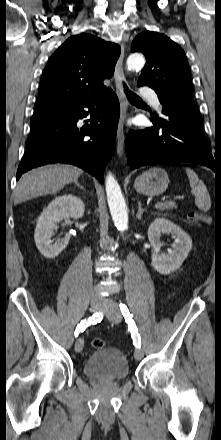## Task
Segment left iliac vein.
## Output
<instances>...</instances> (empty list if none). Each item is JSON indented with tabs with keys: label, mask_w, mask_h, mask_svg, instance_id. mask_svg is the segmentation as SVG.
I'll return each mask as SVG.
<instances>
[{
	"label": "left iliac vein",
	"mask_w": 221,
	"mask_h": 440,
	"mask_svg": "<svg viewBox=\"0 0 221 440\" xmlns=\"http://www.w3.org/2000/svg\"><path fill=\"white\" fill-rule=\"evenodd\" d=\"M102 310L105 312L109 321L113 323H119L122 319V315L118 305L111 299H104L102 304ZM134 357L136 360H140L143 357V350L139 347L135 349Z\"/></svg>",
	"instance_id": "1"
}]
</instances>
